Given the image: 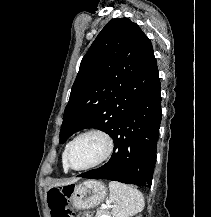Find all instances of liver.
Returning a JSON list of instances; mask_svg holds the SVG:
<instances>
[{"label":"liver","mask_w":211,"mask_h":217,"mask_svg":"<svg viewBox=\"0 0 211 217\" xmlns=\"http://www.w3.org/2000/svg\"><path fill=\"white\" fill-rule=\"evenodd\" d=\"M77 180H78V179L75 178V179H73V180H70V181H67V182H64V183L58 184V185H69V184H72V183L76 182Z\"/></svg>","instance_id":"6515ba94"}]
</instances>
